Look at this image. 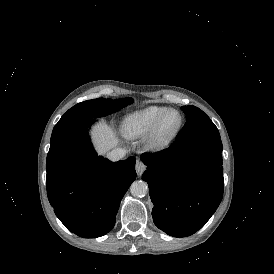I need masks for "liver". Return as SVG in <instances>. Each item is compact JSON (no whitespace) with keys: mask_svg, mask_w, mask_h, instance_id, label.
<instances>
[{"mask_svg":"<svg viewBox=\"0 0 274 274\" xmlns=\"http://www.w3.org/2000/svg\"><path fill=\"white\" fill-rule=\"evenodd\" d=\"M95 142L100 153H104L111 149L116 139L111 128L107 126H99L94 132Z\"/></svg>","mask_w":274,"mask_h":274,"instance_id":"1","label":"liver"}]
</instances>
